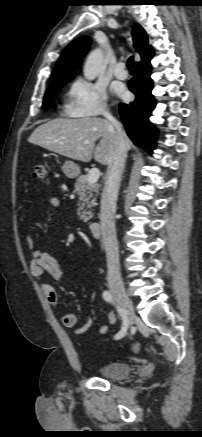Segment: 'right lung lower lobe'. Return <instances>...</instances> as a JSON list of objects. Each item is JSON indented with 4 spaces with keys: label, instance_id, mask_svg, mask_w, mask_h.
<instances>
[{
    "label": "right lung lower lobe",
    "instance_id": "right-lung-lower-lobe-1",
    "mask_svg": "<svg viewBox=\"0 0 202 437\" xmlns=\"http://www.w3.org/2000/svg\"><path fill=\"white\" fill-rule=\"evenodd\" d=\"M150 60L151 58L135 64L136 74L128 83L130 91L136 96L135 101L130 104L120 103L119 111L127 134L134 144L152 153L158 131L149 121L156 105L151 94L153 82L150 78Z\"/></svg>",
    "mask_w": 202,
    "mask_h": 437
}]
</instances>
